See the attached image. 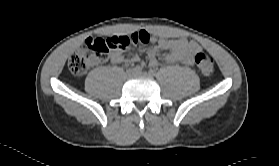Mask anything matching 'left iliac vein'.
<instances>
[{"label":"left iliac vein","mask_w":279,"mask_h":166,"mask_svg":"<svg viewBox=\"0 0 279 166\" xmlns=\"http://www.w3.org/2000/svg\"><path fill=\"white\" fill-rule=\"evenodd\" d=\"M136 75H138V76H149V74L147 72H138V73H136Z\"/></svg>","instance_id":"4c4485c4"}]
</instances>
